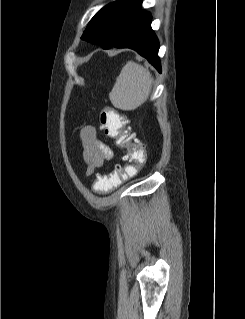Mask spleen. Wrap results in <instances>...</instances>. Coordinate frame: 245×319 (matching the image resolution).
<instances>
[{"label":"spleen","instance_id":"spleen-1","mask_svg":"<svg viewBox=\"0 0 245 319\" xmlns=\"http://www.w3.org/2000/svg\"><path fill=\"white\" fill-rule=\"evenodd\" d=\"M154 79L148 68L128 61L109 94L112 104L122 110H135L147 101Z\"/></svg>","mask_w":245,"mask_h":319}]
</instances>
